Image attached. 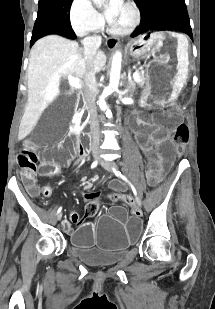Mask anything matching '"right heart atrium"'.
I'll list each match as a JSON object with an SVG mask.
<instances>
[{
  "instance_id": "obj_1",
  "label": "right heart atrium",
  "mask_w": 215,
  "mask_h": 309,
  "mask_svg": "<svg viewBox=\"0 0 215 309\" xmlns=\"http://www.w3.org/2000/svg\"><path fill=\"white\" fill-rule=\"evenodd\" d=\"M70 13V29H74L78 36H86L101 27V15L97 14L89 0H73Z\"/></svg>"
}]
</instances>
